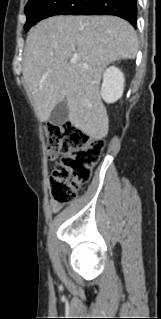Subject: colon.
I'll return each mask as SVG.
<instances>
[{
	"label": "colon",
	"mask_w": 161,
	"mask_h": 319,
	"mask_svg": "<svg viewBox=\"0 0 161 319\" xmlns=\"http://www.w3.org/2000/svg\"><path fill=\"white\" fill-rule=\"evenodd\" d=\"M46 137L49 158L54 159L59 153L63 155L50 175L53 201L63 206L74 201L80 187L89 181L104 142L71 124H48Z\"/></svg>",
	"instance_id": "colon-1"
}]
</instances>
